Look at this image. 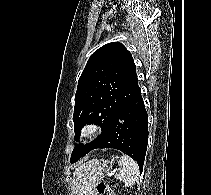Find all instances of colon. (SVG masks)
I'll return each instance as SVG.
<instances>
[{
	"label": "colon",
	"instance_id": "obj_1",
	"mask_svg": "<svg viewBox=\"0 0 211 195\" xmlns=\"http://www.w3.org/2000/svg\"><path fill=\"white\" fill-rule=\"evenodd\" d=\"M95 191L97 195H114L113 191L104 182L97 183Z\"/></svg>",
	"mask_w": 211,
	"mask_h": 195
}]
</instances>
